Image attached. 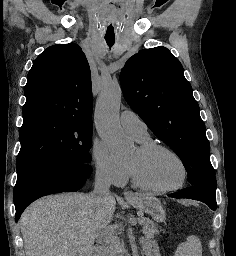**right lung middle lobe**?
<instances>
[{"mask_svg":"<svg viewBox=\"0 0 236 256\" xmlns=\"http://www.w3.org/2000/svg\"><path fill=\"white\" fill-rule=\"evenodd\" d=\"M92 122L37 116L23 120L17 177L49 164H91Z\"/></svg>","mask_w":236,"mask_h":256,"instance_id":"1","label":"right lung middle lobe"}]
</instances>
